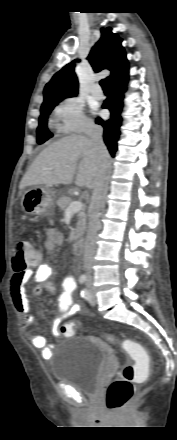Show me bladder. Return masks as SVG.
Wrapping results in <instances>:
<instances>
[{"mask_svg":"<svg viewBox=\"0 0 177 440\" xmlns=\"http://www.w3.org/2000/svg\"><path fill=\"white\" fill-rule=\"evenodd\" d=\"M108 361L109 349L103 341L79 337L74 345L58 347L50 375L55 382L67 383L85 394L95 395Z\"/></svg>","mask_w":177,"mask_h":440,"instance_id":"bladder-1","label":"bladder"}]
</instances>
